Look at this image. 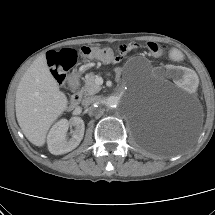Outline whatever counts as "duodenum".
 I'll return each instance as SVG.
<instances>
[{"mask_svg":"<svg viewBox=\"0 0 215 215\" xmlns=\"http://www.w3.org/2000/svg\"><path fill=\"white\" fill-rule=\"evenodd\" d=\"M69 84H70V87L73 90V93H72V95L70 97L68 108L69 109H74L79 104V102L81 100V94L78 91L79 77H78L77 74L71 75V77L69 79Z\"/></svg>","mask_w":215,"mask_h":215,"instance_id":"obj_1","label":"duodenum"}]
</instances>
